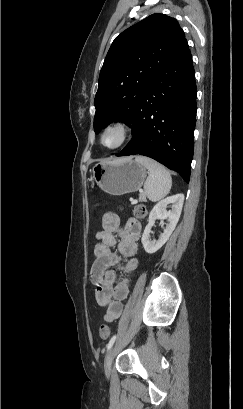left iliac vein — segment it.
Here are the masks:
<instances>
[{
  "label": "left iliac vein",
  "instance_id": "obj_1",
  "mask_svg": "<svg viewBox=\"0 0 243 409\" xmlns=\"http://www.w3.org/2000/svg\"><path fill=\"white\" fill-rule=\"evenodd\" d=\"M114 351H115V347H112L108 351L105 357V360H104V371H105L106 377H109L111 374V366H112Z\"/></svg>",
  "mask_w": 243,
  "mask_h": 409
}]
</instances>
